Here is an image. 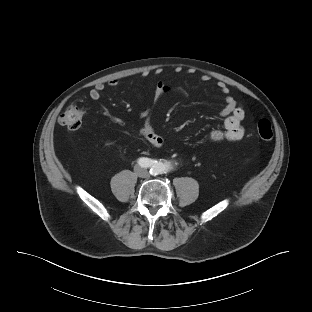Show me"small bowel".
<instances>
[{
    "label": "small bowel",
    "instance_id": "obj_1",
    "mask_svg": "<svg viewBox=\"0 0 312 312\" xmlns=\"http://www.w3.org/2000/svg\"><path fill=\"white\" fill-rule=\"evenodd\" d=\"M202 81H208L209 76L204 75L201 77ZM119 84L118 79H112L108 82L110 87H115ZM217 87L219 91L224 95L225 105L220 111V115L224 117V126L222 130L212 131L208 140L211 142L239 141L244 137L245 130L242 126L244 120V110L237 103L234 97L230 94V89L223 82H218ZM105 89V84L98 83L89 91V98L93 101H97L101 97V93ZM172 88L162 82H158L155 88V98L158 99L161 95L169 93ZM175 91L178 94L185 95L186 92L182 88H176ZM141 117L144 120L143 126L140 129V134L144 139L156 148H161L164 145V139L158 135L152 126L150 111L146 110L141 113Z\"/></svg>",
    "mask_w": 312,
    "mask_h": 312
}]
</instances>
